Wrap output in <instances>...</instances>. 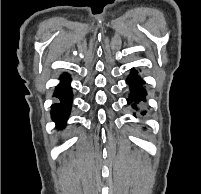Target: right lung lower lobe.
Listing matches in <instances>:
<instances>
[{
    "label": "right lung lower lobe",
    "mask_w": 201,
    "mask_h": 194,
    "mask_svg": "<svg viewBox=\"0 0 201 194\" xmlns=\"http://www.w3.org/2000/svg\"><path fill=\"white\" fill-rule=\"evenodd\" d=\"M61 82L56 87L54 96L60 100V103L52 105V118L56 122V125L64 127L66 119L69 115L72 102V91L70 87V77L62 75L60 78Z\"/></svg>",
    "instance_id": "right-lung-lower-lobe-1"
}]
</instances>
